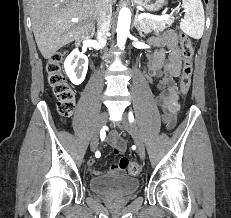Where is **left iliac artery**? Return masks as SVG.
Returning <instances> with one entry per match:
<instances>
[{
    "label": "left iliac artery",
    "instance_id": "obj_1",
    "mask_svg": "<svg viewBox=\"0 0 231 218\" xmlns=\"http://www.w3.org/2000/svg\"><path fill=\"white\" fill-rule=\"evenodd\" d=\"M134 118H133V114L132 112H129V121L133 122Z\"/></svg>",
    "mask_w": 231,
    "mask_h": 218
}]
</instances>
